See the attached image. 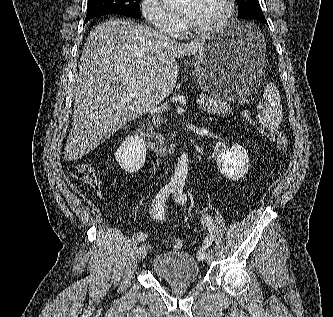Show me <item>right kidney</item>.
Instances as JSON below:
<instances>
[{
	"label": "right kidney",
	"instance_id": "ca27d5eb",
	"mask_svg": "<svg viewBox=\"0 0 333 317\" xmlns=\"http://www.w3.org/2000/svg\"><path fill=\"white\" fill-rule=\"evenodd\" d=\"M115 159L126 172H137L146 160L145 142L139 137L128 136L115 152Z\"/></svg>",
	"mask_w": 333,
	"mask_h": 317
}]
</instances>
